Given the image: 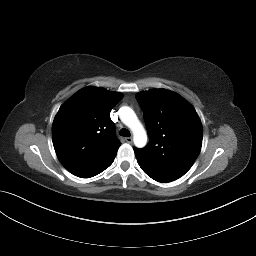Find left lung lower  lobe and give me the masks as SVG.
<instances>
[{
	"label": "left lung lower lobe",
	"instance_id": "0a47b994",
	"mask_svg": "<svg viewBox=\"0 0 256 256\" xmlns=\"http://www.w3.org/2000/svg\"><path fill=\"white\" fill-rule=\"evenodd\" d=\"M146 173V172H145ZM148 176H150L152 179L158 181V182H171V181H174L172 179H167V178H163V177H158V176H155V175H151V174H148L146 173Z\"/></svg>",
	"mask_w": 256,
	"mask_h": 256
}]
</instances>
